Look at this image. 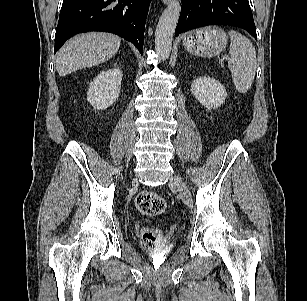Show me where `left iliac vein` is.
I'll return each mask as SVG.
<instances>
[{"instance_id": "obj_1", "label": "left iliac vein", "mask_w": 307, "mask_h": 301, "mask_svg": "<svg viewBox=\"0 0 307 301\" xmlns=\"http://www.w3.org/2000/svg\"><path fill=\"white\" fill-rule=\"evenodd\" d=\"M169 184L171 186H175L179 192V194L181 195L184 203L188 206L192 205V199H191V194L187 188V186L185 185V183L183 182V180L181 179V177L175 175L173 176L170 181Z\"/></svg>"}]
</instances>
